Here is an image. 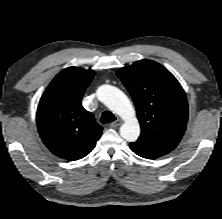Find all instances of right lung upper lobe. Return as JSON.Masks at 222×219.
I'll return each instance as SVG.
<instances>
[{
	"instance_id": "obj_1",
	"label": "right lung upper lobe",
	"mask_w": 222,
	"mask_h": 219,
	"mask_svg": "<svg viewBox=\"0 0 222 219\" xmlns=\"http://www.w3.org/2000/svg\"><path fill=\"white\" fill-rule=\"evenodd\" d=\"M94 71L80 67L62 70L43 93L37 110V127L47 148L74 161L85 157L102 134L93 115L82 107V96Z\"/></svg>"
}]
</instances>
